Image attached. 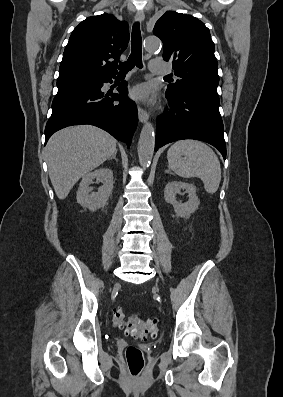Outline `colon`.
Instances as JSON below:
<instances>
[{
  "mask_svg": "<svg viewBox=\"0 0 283 397\" xmlns=\"http://www.w3.org/2000/svg\"><path fill=\"white\" fill-rule=\"evenodd\" d=\"M112 321L119 328L125 327V333L138 339L155 338L159 332L156 319H142L138 316H127L121 307L112 311ZM128 371L133 377H138L144 369L142 351L136 346H129L125 352Z\"/></svg>",
  "mask_w": 283,
  "mask_h": 397,
  "instance_id": "5ec220e1",
  "label": "colon"
}]
</instances>
